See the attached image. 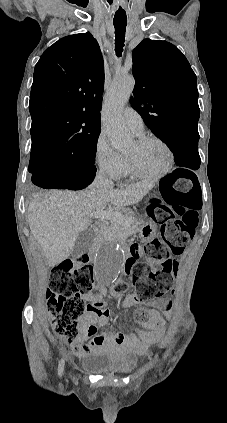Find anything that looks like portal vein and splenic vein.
I'll return each mask as SVG.
<instances>
[{
	"mask_svg": "<svg viewBox=\"0 0 227 423\" xmlns=\"http://www.w3.org/2000/svg\"><path fill=\"white\" fill-rule=\"evenodd\" d=\"M94 217H101V219H113V221H119V223H127V221H132V217H127L119 211L113 210H101L100 214H94Z\"/></svg>",
	"mask_w": 227,
	"mask_h": 423,
	"instance_id": "portal-vein-and-splenic-vein-1",
	"label": "portal vein and splenic vein"
}]
</instances>
